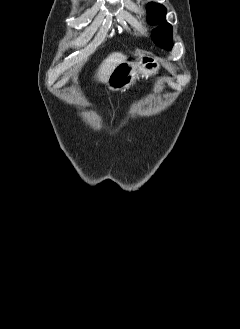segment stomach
<instances>
[{"label":"stomach","instance_id":"stomach-1","mask_svg":"<svg viewBox=\"0 0 240 329\" xmlns=\"http://www.w3.org/2000/svg\"><path fill=\"white\" fill-rule=\"evenodd\" d=\"M160 69L157 59L151 56L139 57L136 61H123L110 74L106 84L111 91H124L129 88L139 75L148 77Z\"/></svg>","mask_w":240,"mask_h":329}]
</instances>
